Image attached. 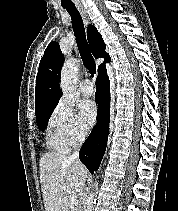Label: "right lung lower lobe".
Returning <instances> with one entry per match:
<instances>
[{
    "label": "right lung lower lobe",
    "mask_w": 178,
    "mask_h": 211,
    "mask_svg": "<svg viewBox=\"0 0 178 211\" xmlns=\"http://www.w3.org/2000/svg\"><path fill=\"white\" fill-rule=\"evenodd\" d=\"M95 99L99 106L97 124L82 145L79 153L81 162L92 174L99 168L109 133L110 82L106 72L99 74L97 77Z\"/></svg>",
    "instance_id": "right-lung-lower-lobe-1"
}]
</instances>
